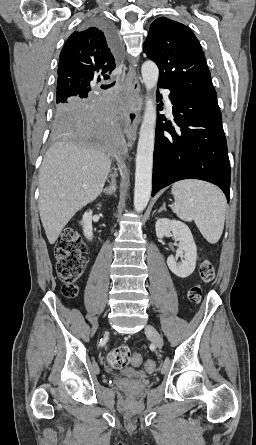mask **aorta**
I'll list each match as a JSON object with an SVG mask.
<instances>
[{
    "label": "aorta",
    "instance_id": "aorta-1",
    "mask_svg": "<svg viewBox=\"0 0 256 445\" xmlns=\"http://www.w3.org/2000/svg\"><path fill=\"white\" fill-rule=\"evenodd\" d=\"M141 74L146 90L154 89L159 78L157 65L152 61L144 62ZM156 118V102L148 97L136 154L134 208L137 212H142L146 208L151 196Z\"/></svg>",
    "mask_w": 256,
    "mask_h": 445
}]
</instances>
